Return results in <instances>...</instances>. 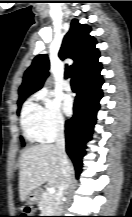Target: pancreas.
I'll use <instances>...</instances> for the list:
<instances>
[{
    "instance_id": "cf45deb5",
    "label": "pancreas",
    "mask_w": 132,
    "mask_h": 217,
    "mask_svg": "<svg viewBox=\"0 0 132 217\" xmlns=\"http://www.w3.org/2000/svg\"><path fill=\"white\" fill-rule=\"evenodd\" d=\"M56 206V196L50 194L48 190L42 192L39 201V208L43 216H51L54 213Z\"/></svg>"
}]
</instances>
